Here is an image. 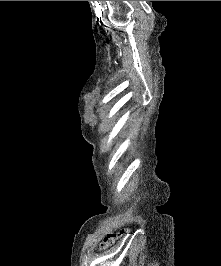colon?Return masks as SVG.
<instances>
[{
    "label": "colon",
    "mask_w": 221,
    "mask_h": 266,
    "mask_svg": "<svg viewBox=\"0 0 221 266\" xmlns=\"http://www.w3.org/2000/svg\"><path fill=\"white\" fill-rule=\"evenodd\" d=\"M122 233H111L108 234L104 239V245L109 246L111 245Z\"/></svg>",
    "instance_id": "colon-1"
}]
</instances>
